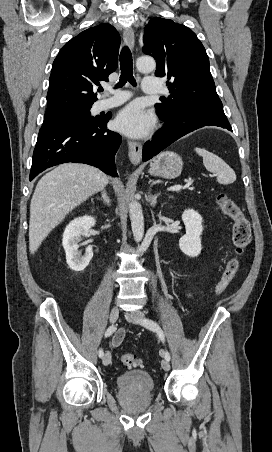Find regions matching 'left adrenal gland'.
Masks as SVG:
<instances>
[{"label":"left adrenal gland","mask_w":272,"mask_h":452,"mask_svg":"<svg viewBox=\"0 0 272 452\" xmlns=\"http://www.w3.org/2000/svg\"><path fill=\"white\" fill-rule=\"evenodd\" d=\"M159 196H160V193H157V194H155V195H152L150 192L148 193L147 201L150 203V205H151L152 207H155V206H156L157 198H158Z\"/></svg>","instance_id":"1"}]
</instances>
